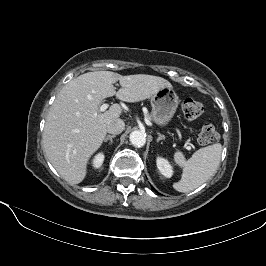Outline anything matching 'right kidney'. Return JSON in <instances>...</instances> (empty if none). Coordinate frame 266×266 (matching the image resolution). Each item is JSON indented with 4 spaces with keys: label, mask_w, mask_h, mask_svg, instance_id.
I'll return each instance as SVG.
<instances>
[{
    "label": "right kidney",
    "mask_w": 266,
    "mask_h": 266,
    "mask_svg": "<svg viewBox=\"0 0 266 266\" xmlns=\"http://www.w3.org/2000/svg\"><path fill=\"white\" fill-rule=\"evenodd\" d=\"M103 161H104V154L103 153H99V154H97L95 156V158L93 160V166L95 168H99L103 164Z\"/></svg>",
    "instance_id": "obj_1"
}]
</instances>
